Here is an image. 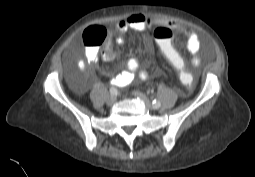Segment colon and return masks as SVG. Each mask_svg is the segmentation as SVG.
<instances>
[{"label":"colon","mask_w":255,"mask_h":177,"mask_svg":"<svg viewBox=\"0 0 255 177\" xmlns=\"http://www.w3.org/2000/svg\"><path fill=\"white\" fill-rule=\"evenodd\" d=\"M106 37L107 30L103 26H92L84 33L85 43L92 48L101 45ZM154 37L156 39L155 46L161 53L163 61L176 70L181 84L188 85V88L191 89V83L194 82L195 75L189 72L185 58L174 46L172 30L167 27H159L155 30Z\"/></svg>","instance_id":"1"}]
</instances>
